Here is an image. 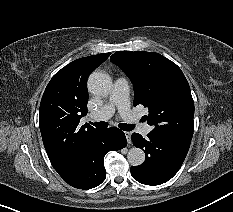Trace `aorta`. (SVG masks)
I'll return each mask as SVG.
<instances>
[{"mask_svg": "<svg viewBox=\"0 0 233 212\" xmlns=\"http://www.w3.org/2000/svg\"><path fill=\"white\" fill-rule=\"evenodd\" d=\"M89 91L98 96H108L112 90L110 77L103 72H93L88 78ZM128 162L132 166H139L145 160V153L142 149L133 147L127 153Z\"/></svg>", "mask_w": 233, "mask_h": 212, "instance_id": "obj_1", "label": "aorta"}]
</instances>
